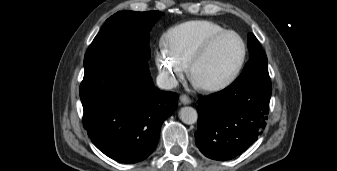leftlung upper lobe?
<instances>
[{
    "label": "left lung upper lobe",
    "mask_w": 337,
    "mask_h": 171,
    "mask_svg": "<svg viewBox=\"0 0 337 171\" xmlns=\"http://www.w3.org/2000/svg\"><path fill=\"white\" fill-rule=\"evenodd\" d=\"M248 48L250 50V60L246 63L242 74L232 84L255 80L271 83L266 54L252 33L248 35Z\"/></svg>",
    "instance_id": "left-lung-upper-lobe-1"
}]
</instances>
